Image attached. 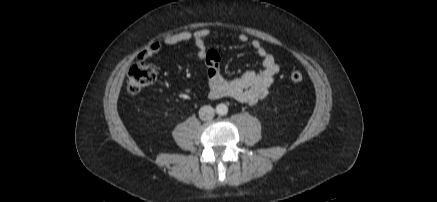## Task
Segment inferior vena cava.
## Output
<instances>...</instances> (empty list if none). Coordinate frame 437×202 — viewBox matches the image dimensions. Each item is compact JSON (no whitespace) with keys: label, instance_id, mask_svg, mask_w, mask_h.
Returning <instances> with one entry per match:
<instances>
[{"label":"inferior vena cava","instance_id":"obj_1","mask_svg":"<svg viewBox=\"0 0 437 202\" xmlns=\"http://www.w3.org/2000/svg\"><path fill=\"white\" fill-rule=\"evenodd\" d=\"M215 115V110L211 106H203L199 110V117L203 121L211 120Z\"/></svg>","mask_w":437,"mask_h":202}]
</instances>
